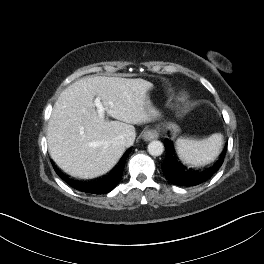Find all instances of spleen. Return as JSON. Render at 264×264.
Here are the masks:
<instances>
[{"mask_svg": "<svg viewBox=\"0 0 264 264\" xmlns=\"http://www.w3.org/2000/svg\"><path fill=\"white\" fill-rule=\"evenodd\" d=\"M222 141V134L215 133L204 140L179 138L176 141V147L180 157L186 163L201 166L216 159L222 149Z\"/></svg>", "mask_w": 264, "mask_h": 264, "instance_id": "3e777b00", "label": "spleen"}]
</instances>
